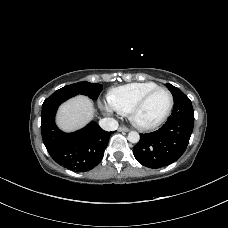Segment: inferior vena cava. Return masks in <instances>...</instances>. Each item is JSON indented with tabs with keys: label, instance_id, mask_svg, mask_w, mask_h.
<instances>
[{
	"label": "inferior vena cava",
	"instance_id": "obj_1",
	"mask_svg": "<svg viewBox=\"0 0 228 228\" xmlns=\"http://www.w3.org/2000/svg\"><path fill=\"white\" fill-rule=\"evenodd\" d=\"M100 127L105 131H115L119 124L113 118H104L99 121Z\"/></svg>",
	"mask_w": 228,
	"mask_h": 228
}]
</instances>
